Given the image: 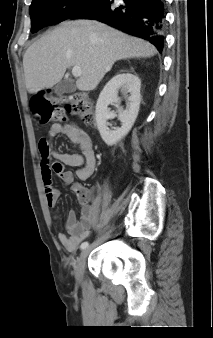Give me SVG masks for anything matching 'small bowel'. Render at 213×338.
Segmentation results:
<instances>
[{"label": "small bowel", "mask_w": 213, "mask_h": 338, "mask_svg": "<svg viewBox=\"0 0 213 338\" xmlns=\"http://www.w3.org/2000/svg\"><path fill=\"white\" fill-rule=\"evenodd\" d=\"M60 134L77 145L80 152L69 154L52 149L50 139ZM37 145L41 154L40 168L47 206L56 207L60 197V190L55 186L53 173L64 184L71 185L82 205L80 218L77 219L73 213H70L66 221V233L58 234V240L65 250L74 253L89 236L93 225L94 211L91 198L95 190L75 181V177L79 181H84L94 172L96 159L92 139L73 123H53L49 127L48 137H41ZM64 165L75 167V174L66 170ZM53 219L57 220L58 216L54 215Z\"/></svg>", "instance_id": "c3829d8e"}]
</instances>
